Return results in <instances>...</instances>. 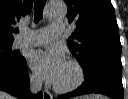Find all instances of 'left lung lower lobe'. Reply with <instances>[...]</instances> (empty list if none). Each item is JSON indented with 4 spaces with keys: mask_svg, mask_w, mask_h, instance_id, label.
Segmentation results:
<instances>
[{
    "mask_svg": "<svg viewBox=\"0 0 128 99\" xmlns=\"http://www.w3.org/2000/svg\"><path fill=\"white\" fill-rule=\"evenodd\" d=\"M80 65L84 71V83L75 91L58 96V99L90 93L123 99L121 53L96 51Z\"/></svg>",
    "mask_w": 128,
    "mask_h": 99,
    "instance_id": "left-lung-lower-lobe-1",
    "label": "left lung lower lobe"
}]
</instances>
